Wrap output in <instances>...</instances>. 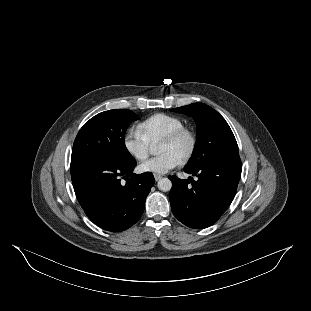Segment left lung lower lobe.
<instances>
[{"mask_svg": "<svg viewBox=\"0 0 311 311\" xmlns=\"http://www.w3.org/2000/svg\"><path fill=\"white\" fill-rule=\"evenodd\" d=\"M241 170L240 157H226L197 168H184L198 178L196 181L192 177L182 180L170 176L169 198L174 216L194 229L214 224L233 201Z\"/></svg>", "mask_w": 311, "mask_h": 311, "instance_id": "obj_1", "label": "left lung lower lobe"}]
</instances>
